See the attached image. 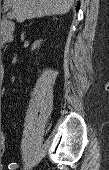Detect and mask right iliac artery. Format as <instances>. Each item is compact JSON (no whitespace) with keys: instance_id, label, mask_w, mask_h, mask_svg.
Listing matches in <instances>:
<instances>
[{"instance_id":"1","label":"right iliac artery","mask_w":109,"mask_h":170,"mask_svg":"<svg viewBox=\"0 0 109 170\" xmlns=\"http://www.w3.org/2000/svg\"><path fill=\"white\" fill-rule=\"evenodd\" d=\"M17 167H18V164H17V163H11V164H9V166H8L9 170H14V169H16Z\"/></svg>"}]
</instances>
